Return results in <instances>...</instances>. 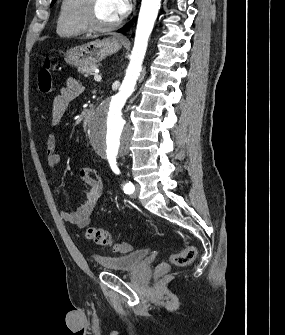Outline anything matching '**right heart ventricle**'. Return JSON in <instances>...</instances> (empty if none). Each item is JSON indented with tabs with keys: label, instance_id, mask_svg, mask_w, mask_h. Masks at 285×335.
Returning a JSON list of instances; mask_svg holds the SVG:
<instances>
[{
	"label": "right heart ventricle",
	"instance_id": "e07e8e85",
	"mask_svg": "<svg viewBox=\"0 0 285 335\" xmlns=\"http://www.w3.org/2000/svg\"><path fill=\"white\" fill-rule=\"evenodd\" d=\"M84 1H61L56 33L62 39H77L86 32Z\"/></svg>",
	"mask_w": 285,
	"mask_h": 335
}]
</instances>
